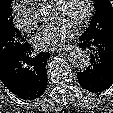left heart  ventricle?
<instances>
[{"label":"left heart ventricle","instance_id":"b2bd125f","mask_svg":"<svg viewBox=\"0 0 113 113\" xmlns=\"http://www.w3.org/2000/svg\"><path fill=\"white\" fill-rule=\"evenodd\" d=\"M86 10V0H62L56 8L47 10L46 21H62L76 27L85 16Z\"/></svg>","mask_w":113,"mask_h":113}]
</instances>
